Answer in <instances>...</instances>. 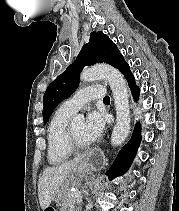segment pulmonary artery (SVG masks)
<instances>
[{"label":"pulmonary artery","mask_w":179,"mask_h":211,"mask_svg":"<svg viewBox=\"0 0 179 211\" xmlns=\"http://www.w3.org/2000/svg\"><path fill=\"white\" fill-rule=\"evenodd\" d=\"M105 96L106 90L102 85L86 86L78 90L70 99L64 101L60 109L74 114L89 101L103 99Z\"/></svg>","instance_id":"1"}]
</instances>
